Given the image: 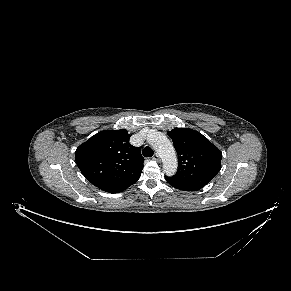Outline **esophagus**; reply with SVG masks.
<instances>
[{
	"mask_svg": "<svg viewBox=\"0 0 291 291\" xmlns=\"http://www.w3.org/2000/svg\"><path fill=\"white\" fill-rule=\"evenodd\" d=\"M153 159L155 161L159 162L160 161V156L156 153V154H154Z\"/></svg>",
	"mask_w": 291,
	"mask_h": 291,
	"instance_id": "34e87169",
	"label": "esophagus"
}]
</instances>
